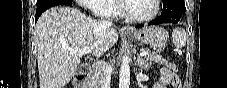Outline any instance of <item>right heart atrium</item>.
<instances>
[{"instance_id": "obj_1", "label": "right heart atrium", "mask_w": 227, "mask_h": 88, "mask_svg": "<svg viewBox=\"0 0 227 88\" xmlns=\"http://www.w3.org/2000/svg\"><path fill=\"white\" fill-rule=\"evenodd\" d=\"M80 5L85 6L88 10L96 13L99 16H107V12L101 10L99 6L106 3V0H78Z\"/></svg>"}]
</instances>
